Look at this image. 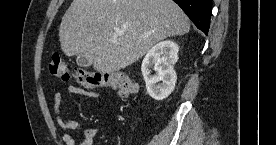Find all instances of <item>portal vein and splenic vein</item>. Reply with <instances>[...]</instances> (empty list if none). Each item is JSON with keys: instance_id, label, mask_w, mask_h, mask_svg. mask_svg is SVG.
I'll return each mask as SVG.
<instances>
[{"instance_id": "1", "label": "portal vein and splenic vein", "mask_w": 276, "mask_h": 145, "mask_svg": "<svg viewBox=\"0 0 276 145\" xmlns=\"http://www.w3.org/2000/svg\"><path fill=\"white\" fill-rule=\"evenodd\" d=\"M117 35H122V32L121 31H117Z\"/></svg>"}]
</instances>
